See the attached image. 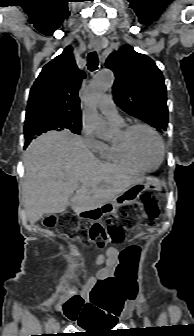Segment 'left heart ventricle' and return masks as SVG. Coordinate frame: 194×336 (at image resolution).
I'll list each match as a JSON object with an SVG mask.
<instances>
[{"label": "left heart ventricle", "mask_w": 194, "mask_h": 336, "mask_svg": "<svg viewBox=\"0 0 194 336\" xmlns=\"http://www.w3.org/2000/svg\"><path fill=\"white\" fill-rule=\"evenodd\" d=\"M134 149L141 160L155 165L160 159V146L155 136L146 129H137L132 134Z\"/></svg>", "instance_id": "1"}]
</instances>
